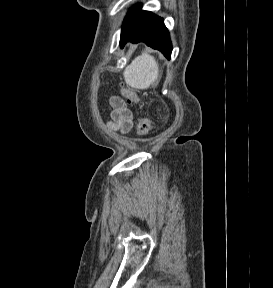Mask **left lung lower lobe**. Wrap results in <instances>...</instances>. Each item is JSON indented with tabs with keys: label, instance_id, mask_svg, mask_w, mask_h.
Instances as JSON below:
<instances>
[{
	"label": "left lung lower lobe",
	"instance_id": "left-lung-lower-lobe-1",
	"mask_svg": "<svg viewBox=\"0 0 273 288\" xmlns=\"http://www.w3.org/2000/svg\"><path fill=\"white\" fill-rule=\"evenodd\" d=\"M128 41L132 43L145 42L170 59L172 45L163 19L149 11H142L140 4L130 9L122 24L121 47H124Z\"/></svg>",
	"mask_w": 273,
	"mask_h": 288
}]
</instances>
